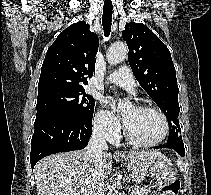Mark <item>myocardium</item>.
Returning <instances> with one entry per match:
<instances>
[{
  "label": "myocardium",
  "mask_w": 211,
  "mask_h": 195,
  "mask_svg": "<svg viewBox=\"0 0 211 195\" xmlns=\"http://www.w3.org/2000/svg\"><path fill=\"white\" fill-rule=\"evenodd\" d=\"M135 108L139 109V110H143V111H153L155 113H157L162 121H163V125H164V132H163V135L155 140V141H152V142H142L138 139H136L128 130L127 128V125L126 123L124 122V125H123V131H124V135L126 137V139L133 145L135 146H138V147H152V146H156L158 144H160L161 142H163L166 137L168 136L169 134V122H168V119L165 115V113L160 110L159 108L157 107H154V106H150V105H137Z\"/></svg>",
  "instance_id": "f54148a6"
}]
</instances>
